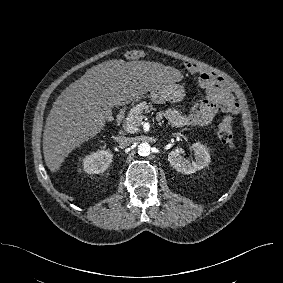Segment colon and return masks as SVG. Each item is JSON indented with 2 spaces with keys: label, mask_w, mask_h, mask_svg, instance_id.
<instances>
[{
  "label": "colon",
  "mask_w": 283,
  "mask_h": 283,
  "mask_svg": "<svg viewBox=\"0 0 283 283\" xmlns=\"http://www.w3.org/2000/svg\"><path fill=\"white\" fill-rule=\"evenodd\" d=\"M132 55L138 57L139 53H133ZM217 135L220 141L227 147L233 149L237 146V141L232 130V116L228 111L223 112L217 128Z\"/></svg>",
  "instance_id": "obj_1"
}]
</instances>
